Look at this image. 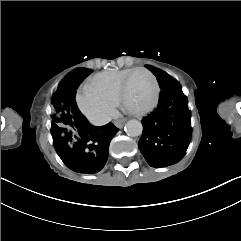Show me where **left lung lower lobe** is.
<instances>
[{"instance_id": "0a47b994", "label": "left lung lower lobe", "mask_w": 241, "mask_h": 241, "mask_svg": "<svg viewBox=\"0 0 241 241\" xmlns=\"http://www.w3.org/2000/svg\"><path fill=\"white\" fill-rule=\"evenodd\" d=\"M191 113L178 82L162 88L158 107L142 120L139 149L152 167L177 163L191 139Z\"/></svg>"}]
</instances>
